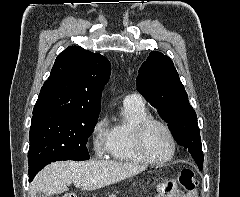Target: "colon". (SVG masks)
Instances as JSON below:
<instances>
[{
	"label": "colon",
	"mask_w": 240,
	"mask_h": 197,
	"mask_svg": "<svg viewBox=\"0 0 240 197\" xmlns=\"http://www.w3.org/2000/svg\"><path fill=\"white\" fill-rule=\"evenodd\" d=\"M178 182L186 192L193 191L194 187L197 184V179L194 171L190 169L182 170L178 176ZM172 188V183L169 182L161 185L159 187V191L162 195L165 196L171 193ZM61 197H77V195L75 193H67Z\"/></svg>",
	"instance_id": "5ec220e1"
}]
</instances>
